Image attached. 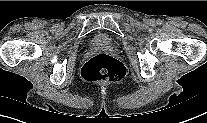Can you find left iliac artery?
<instances>
[{
	"label": "left iliac artery",
	"instance_id": "obj_1",
	"mask_svg": "<svg viewBox=\"0 0 207 123\" xmlns=\"http://www.w3.org/2000/svg\"><path fill=\"white\" fill-rule=\"evenodd\" d=\"M156 23L160 25V24L162 23V21H161L160 19H158V20L156 21Z\"/></svg>",
	"mask_w": 207,
	"mask_h": 123
}]
</instances>
